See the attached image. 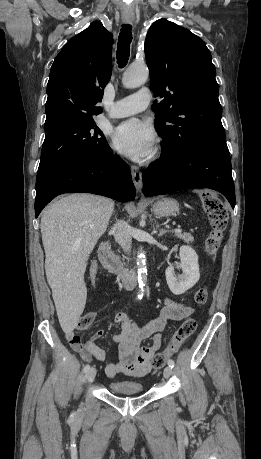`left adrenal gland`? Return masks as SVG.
I'll use <instances>...</instances> for the list:
<instances>
[{
  "label": "left adrenal gland",
  "instance_id": "obj_1",
  "mask_svg": "<svg viewBox=\"0 0 261 459\" xmlns=\"http://www.w3.org/2000/svg\"><path fill=\"white\" fill-rule=\"evenodd\" d=\"M158 228H159V224L157 223L156 229H155V233H158L159 237H161L164 234H166L167 232H169V230H165V229H160V231L158 232Z\"/></svg>",
  "mask_w": 261,
  "mask_h": 459
}]
</instances>
